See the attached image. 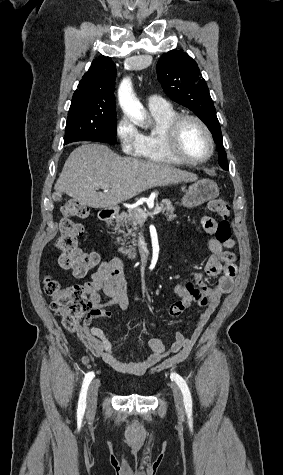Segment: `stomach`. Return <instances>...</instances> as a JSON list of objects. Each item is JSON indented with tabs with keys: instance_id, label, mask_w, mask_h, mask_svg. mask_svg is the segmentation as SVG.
<instances>
[{
	"instance_id": "stomach-1",
	"label": "stomach",
	"mask_w": 283,
	"mask_h": 475,
	"mask_svg": "<svg viewBox=\"0 0 283 475\" xmlns=\"http://www.w3.org/2000/svg\"><path fill=\"white\" fill-rule=\"evenodd\" d=\"M219 188L212 180H198L189 186L185 196L182 198V206L185 208H196L208 200L218 198Z\"/></svg>"
}]
</instances>
